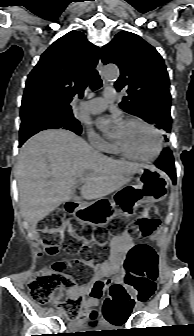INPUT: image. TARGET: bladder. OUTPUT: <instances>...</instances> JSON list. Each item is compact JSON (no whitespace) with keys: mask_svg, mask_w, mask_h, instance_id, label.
<instances>
[{"mask_svg":"<svg viewBox=\"0 0 194 336\" xmlns=\"http://www.w3.org/2000/svg\"><path fill=\"white\" fill-rule=\"evenodd\" d=\"M86 328H87V325L85 323H81V322H74L69 327L70 330H75V331L84 330Z\"/></svg>","mask_w":194,"mask_h":336,"instance_id":"bladder-1","label":"bladder"}]
</instances>
